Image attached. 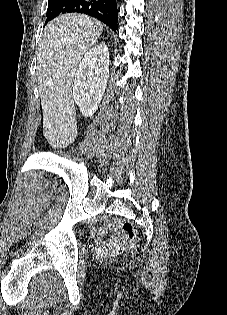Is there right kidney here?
<instances>
[{
    "instance_id": "obj_1",
    "label": "right kidney",
    "mask_w": 227,
    "mask_h": 315,
    "mask_svg": "<svg viewBox=\"0 0 227 315\" xmlns=\"http://www.w3.org/2000/svg\"><path fill=\"white\" fill-rule=\"evenodd\" d=\"M109 52L105 43L89 49L74 80L73 98L82 115L91 117L98 109L109 78Z\"/></svg>"
}]
</instances>
